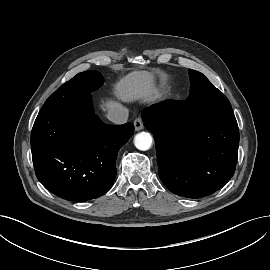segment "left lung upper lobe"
<instances>
[{
	"mask_svg": "<svg viewBox=\"0 0 270 270\" xmlns=\"http://www.w3.org/2000/svg\"><path fill=\"white\" fill-rule=\"evenodd\" d=\"M190 92L196 93L203 111L232 110L225 95L200 72L189 69Z\"/></svg>",
	"mask_w": 270,
	"mask_h": 270,
	"instance_id": "5c2ea615",
	"label": "left lung upper lobe"
}]
</instances>
